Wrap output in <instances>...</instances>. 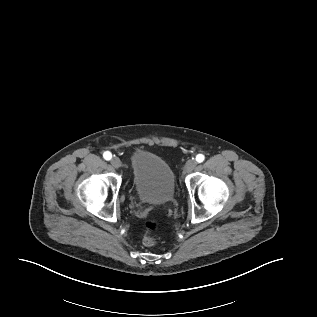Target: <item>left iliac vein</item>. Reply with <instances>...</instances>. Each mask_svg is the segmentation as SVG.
<instances>
[{
	"label": "left iliac vein",
	"mask_w": 317,
	"mask_h": 317,
	"mask_svg": "<svg viewBox=\"0 0 317 317\" xmlns=\"http://www.w3.org/2000/svg\"><path fill=\"white\" fill-rule=\"evenodd\" d=\"M196 165L197 163L195 160H188L184 166V171L190 173L195 169Z\"/></svg>",
	"instance_id": "4c4485c4"
}]
</instances>
